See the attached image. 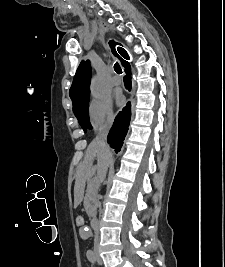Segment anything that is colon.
<instances>
[{
    "instance_id": "obj_1",
    "label": "colon",
    "mask_w": 225,
    "mask_h": 267,
    "mask_svg": "<svg viewBox=\"0 0 225 267\" xmlns=\"http://www.w3.org/2000/svg\"><path fill=\"white\" fill-rule=\"evenodd\" d=\"M75 223H76V226L78 228H80V229L83 228V225H84V218H83V216H81V215L76 216ZM83 236H84V234H83Z\"/></svg>"
}]
</instances>
